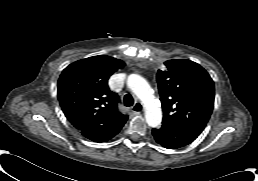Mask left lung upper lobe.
Segmentation results:
<instances>
[{"label":"left lung upper lobe","instance_id":"5c2ea615","mask_svg":"<svg viewBox=\"0 0 258 181\" xmlns=\"http://www.w3.org/2000/svg\"><path fill=\"white\" fill-rule=\"evenodd\" d=\"M157 74L164 117L162 124L199 135L214 106V83L207 71L190 60H169Z\"/></svg>","mask_w":258,"mask_h":181}]
</instances>
